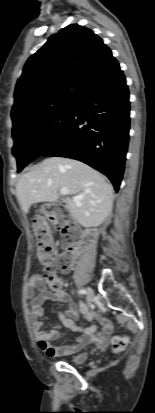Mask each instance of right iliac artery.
<instances>
[{
    "label": "right iliac artery",
    "instance_id": "obj_1",
    "mask_svg": "<svg viewBox=\"0 0 155 413\" xmlns=\"http://www.w3.org/2000/svg\"><path fill=\"white\" fill-rule=\"evenodd\" d=\"M78 293H79L80 295H83V294H86L87 291L84 290V289H80V290H78Z\"/></svg>",
    "mask_w": 155,
    "mask_h": 413
}]
</instances>
